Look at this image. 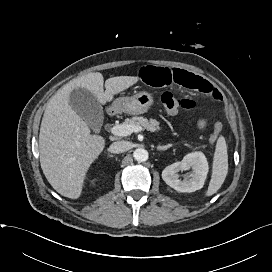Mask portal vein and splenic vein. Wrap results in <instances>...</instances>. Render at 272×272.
<instances>
[{
  "instance_id": "18ae733b",
  "label": "portal vein and splenic vein",
  "mask_w": 272,
  "mask_h": 272,
  "mask_svg": "<svg viewBox=\"0 0 272 272\" xmlns=\"http://www.w3.org/2000/svg\"><path fill=\"white\" fill-rule=\"evenodd\" d=\"M143 128L141 126L120 124L111 128V133L116 136H129L133 132H141Z\"/></svg>"
}]
</instances>
